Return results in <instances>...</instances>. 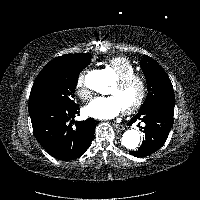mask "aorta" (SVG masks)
I'll return each instance as SVG.
<instances>
[{
	"label": "aorta",
	"mask_w": 200,
	"mask_h": 200,
	"mask_svg": "<svg viewBox=\"0 0 200 200\" xmlns=\"http://www.w3.org/2000/svg\"><path fill=\"white\" fill-rule=\"evenodd\" d=\"M87 86L99 93H105L107 87V80L101 71L91 72L86 78ZM140 143V133L135 129H129L124 132L122 136V145L129 149L134 150Z\"/></svg>",
	"instance_id": "762f6f07"
}]
</instances>
